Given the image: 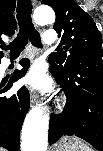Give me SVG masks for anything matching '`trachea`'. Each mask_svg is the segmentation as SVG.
<instances>
[{
    "mask_svg": "<svg viewBox=\"0 0 103 151\" xmlns=\"http://www.w3.org/2000/svg\"><path fill=\"white\" fill-rule=\"evenodd\" d=\"M32 5L30 0H19L17 4V19L20 27L17 37L8 45H3L4 49H9L10 54H20L28 41L35 47H41L40 34L36 31L32 23Z\"/></svg>",
    "mask_w": 103,
    "mask_h": 151,
    "instance_id": "obj_1",
    "label": "trachea"
}]
</instances>
